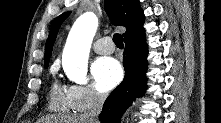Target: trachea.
<instances>
[{"label": "trachea", "instance_id": "trachea-1", "mask_svg": "<svg viewBox=\"0 0 221 123\" xmlns=\"http://www.w3.org/2000/svg\"><path fill=\"white\" fill-rule=\"evenodd\" d=\"M113 42L115 43V45L118 47V48H123L124 44H123V37L121 34H114L113 35Z\"/></svg>", "mask_w": 221, "mask_h": 123}]
</instances>
